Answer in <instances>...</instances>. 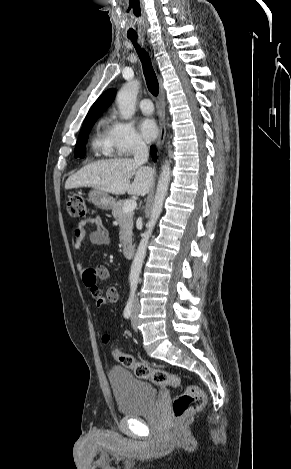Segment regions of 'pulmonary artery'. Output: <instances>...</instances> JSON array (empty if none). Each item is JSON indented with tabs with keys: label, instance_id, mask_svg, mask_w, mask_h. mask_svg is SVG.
Here are the masks:
<instances>
[{
	"label": "pulmonary artery",
	"instance_id": "pulmonary-artery-1",
	"mask_svg": "<svg viewBox=\"0 0 291 469\" xmlns=\"http://www.w3.org/2000/svg\"><path fill=\"white\" fill-rule=\"evenodd\" d=\"M139 107L144 114H151L153 112V104L148 98L142 99L139 103Z\"/></svg>",
	"mask_w": 291,
	"mask_h": 469
}]
</instances>
